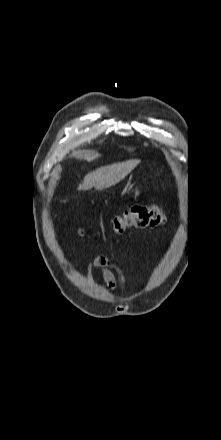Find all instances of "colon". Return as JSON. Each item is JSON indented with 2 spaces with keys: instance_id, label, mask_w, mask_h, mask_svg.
Here are the masks:
<instances>
[{
  "instance_id": "obj_1",
  "label": "colon",
  "mask_w": 221,
  "mask_h": 440,
  "mask_svg": "<svg viewBox=\"0 0 221 440\" xmlns=\"http://www.w3.org/2000/svg\"><path fill=\"white\" fill-rule=\"evenodd\" d=\"M165 217L158 206H133L117 215L112 221V231L122 234L130 229H145L164 224Z\"/></svg>"
}]
</instances>
